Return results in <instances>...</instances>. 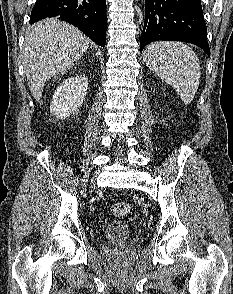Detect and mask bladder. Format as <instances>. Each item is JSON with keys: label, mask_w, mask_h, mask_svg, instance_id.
<instances>
[{"label": "bladder", "mask_w": 233, "mask_h": 294, "mask_svg": "<svg viewBox=\"0 0 233 294\" xmlns=\"http://www.w3.org/2000/svg\"><path fill=\"white\" fill-rule=\"evenodd\" d=\"M130 233L131 230L128 224L121 221L112 222L105 229L106 238L114 242L126 240Z\"/></svg>", "instance_id": "obj_1"}]
</instances>
